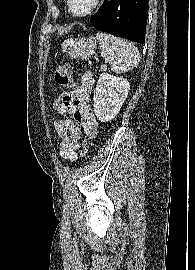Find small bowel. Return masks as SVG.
Returning <instances> with one entry per match:
<instances>
[{
    "mask_svg": "<svg viewBox=\"0 0 195 270\" xmlns=\"http://www.w3.org/2000/svg\"><path fill=\"white\" fill-rule=\"evenodd\" d=\"M93 84V75L84 74L80 86L75 90V100L72 105L69 108L57 110L60 115L73 116L72 119H56L53 124L61 140L60 154L70 162L77 158L82 131L89 137H95L97 134L98 123L89 104Z\"/></svg>",
    "mask_w": 195,
    "mask_h": 270,
    "instance_id": "small-bowel-1",
    "label": "small bowel"
}]
</instances>
